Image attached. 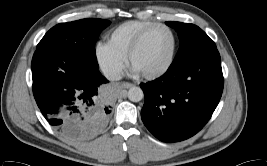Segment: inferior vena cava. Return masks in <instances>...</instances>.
Segmentation results:
<instances>
[{"label": "inferior vena cava", "mask_w": 267, "mask_h": 166, "mask_svg": "<svg viewBox=\"0 0 267 166\" xmlns=\"http://www.w3.org/2000/svg\"><path fill=\"white\" fill-rule=\"evenodd\" d=\"M104 74L108 80L112 81H117L121 78L120 72L113 68L106 69Z\"/></svg>", "instance_id": "obj_1"}]
</instances>
